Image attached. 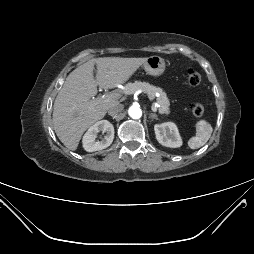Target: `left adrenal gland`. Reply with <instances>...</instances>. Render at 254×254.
<instances>
[{
    "label": "left adrenal gland",
    "instance_id": "1",
    "mask_svg": "<svg viewBox=\"0 0 254 254\" xmlns=\"http://www.w3.org/2000/svg\"><path fill=\"white\" fill-rule=\"evenodd\" d=\"M149 117L158 120V116L155 113H151Z\"/></svg>",
    "mask_w": 254,
    "mask_h": 254
}]
</instances>
